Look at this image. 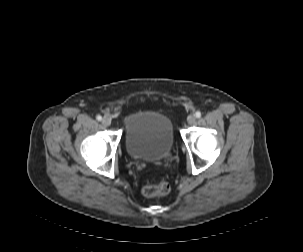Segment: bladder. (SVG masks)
Segmentation results:
<instances>
[{
  "label": "bladder",
  "instance_id": "1",
  "mask_svg": "<svg viewBox=\"0 0 303 252\" xmlns=\"http://www.w3.org/2000/svg\"><path fill=\"white\" fill-rule=\"evenodd\" d=\"M124 142L128 156L144 161H163L173 149V127L167 116L142 111L124 121Z\"/></svg>",
  "mask_w": 303,
  "mask_h": 252
}]
</instances>
